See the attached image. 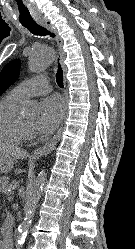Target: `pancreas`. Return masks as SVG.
<instances>
[{"label": "pancreas", "instance_id": "cf45deb5", "mask_svg": "<svg viewBox=\"0 0 135 249\" xmlns=\"http://www.w3.org/2000/svg\"><path fill=\"white\" fill-rule=\"evenodd\" d=\"M17 185H18V182H17V181H12L8 188H14V187H16ZM0 190H1L2 192H4V191L6 190V188H4V186H1V187H0Z\"/></svg>", "mask_w": 135, "mask_h": 249}]
</instances>
